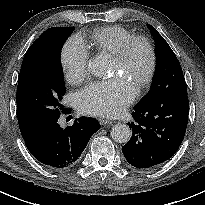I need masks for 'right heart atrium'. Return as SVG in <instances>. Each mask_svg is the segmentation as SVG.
Instances as JSON below:
<instances>
[{
    "label": "right heart atrium",
    "mask_w": 205,
    "mask_h": 205,
    "mask_svg": "<svg viewBox=\"0 0 205 205\" xmlns=\"http://www.w3.org/2000/svg\"><path fill=\"white\" fill-rule=\"evenodd\" d=\"M60 62L69 83L78 84L87 77L89 51L80 37L72 36L65 42Z\"/></svg>",
    "instance_id": "right-heart-atrium-1"
}]
</instances>
